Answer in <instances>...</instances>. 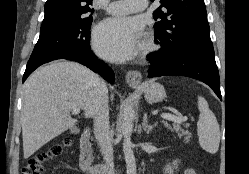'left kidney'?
I'll list each match as a JSON object with an SVG mask.
<instances>
[{
  "label": "left kidney",
  "mask_w": 249,
  "mask_h": 174,
  "mask_svg": "<svg viewBox=\"0 0 249 174\" xmlns=\"http://www.w3.org/2000/svg\"><path fill=\"white\" fill-rule=\"evenodd\" d=\"M173 167L169 164L165 167V173H168V174H173V171H174V168H177L176 165H177V161H174L173 163Z\"/></svg>",
  "instance_id": "1"
}]
</instances>
